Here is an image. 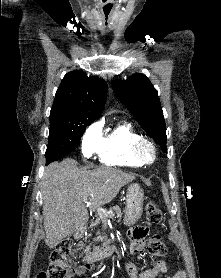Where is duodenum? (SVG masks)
Masks as SVG:
<instances>
[{"label": "duodenum", "mask_w": 221, "mask_h": 278, "mask_svg": "<svg viewBox=\"0 0 221 278\" xmlns=\"http://www.w3.org/2000/svg\"><path fill=\"white\" fill-rule=\"evenodd\" d=\"M84 234V229H79L76 231L74 237L75 239H80ZM115 252V246L110 242L106 241L103 245L100 247H97L93 249L91 252H89L85 257V264L84 267L86 269H93L95 262L102 258L109 257L113 255Z\"/></svg>", "instance_id": "duodenum-1"}]
</instances>
